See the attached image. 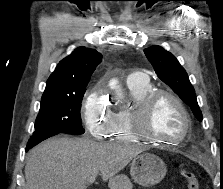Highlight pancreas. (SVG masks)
Here are the masks:
<instances>
[{"label": "pancreas", "instance_id": "1", "mask_svg": "<svg viewBox=\"0 0 223 189\" xmlns=\"http://www.w3.org/2000/svg\"><path fill=\"white\" fill-rule=\"evenodd\" d=\"M122 179L126 180L125 184L128 188H130L132 186L131 183L129 182V180L125 176L118 178V180H122Z\"/></svg>", "mask_w": 223, "mask_h": 189}]
</instances>
